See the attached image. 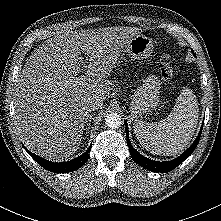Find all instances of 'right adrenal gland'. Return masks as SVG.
<instances>
[{
  "mask_svg": "<svg viewBox=\"0 0 221 221\" xmlns=\"http://www.w3.org/2000/svg\"><path fill=\"white\" fill-rule=\"evenodd\" d=\"M92 117H93V114L89 116L88 118V121H87V126L85 128V131L87 133V131L89 130V127H90V124H91V121H92Z\"/></svg>",
  "mask_w": 221,
  "mask_h": 221,
  "instance_id": "2a0ac1e0",
  "label": "right adrenal gland"
}]
</instances>
